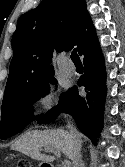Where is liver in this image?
<instances>
[{
	"label": "liver",
	"mask_w": 125,
	"mask_h": 167,
	"mask_svg": "<svg viewBox=\"0 0 125 167\" xmlns=\"http://www.w3.org/2000/svg\"><path fill=\"white\" fill-rule=\"evenodd\" d=\"M41 147H53L61 151L70 160L74 157V145L70 133L63 129L33 130L20 136L11 146L32 159L51 162L55 158L42 154Z\"/></svg>",
	"instance_id": "6515ba94"
}]
</instances>
